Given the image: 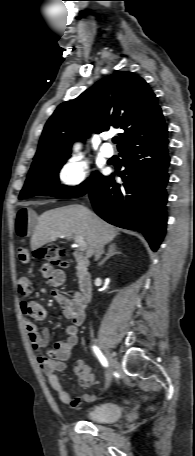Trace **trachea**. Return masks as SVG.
<instances>
[{
  "mask_svg": "<svg viewBox=\"0 0 195 456\" xmlns=\"http://www.w3.org/2000/svg\"><path fill=\"white\" fill-rule=\"evenodd\" d=\"M118 141H119V139H118L117 137H114V138H113V142H114V143H118Z\"/></svg>",
  "mask_w": 195,
  "mask_h": 456,
  "instance_id": "3493384b",
  "label": "trachea"
}]
</instances>
